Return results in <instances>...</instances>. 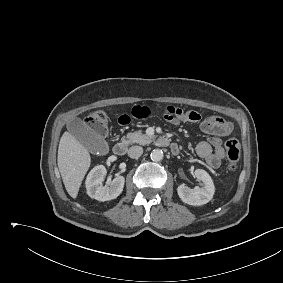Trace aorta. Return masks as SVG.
<instances>
[{
	"label": "aorta",
	"mask_w": 283,
	"mask_h": 283,
	"mask_svg": "<svg viewBox=\"0 0 283 283\" xmlns=\"http://www.w3.org/2000/svg\"><path fill=\"white\" fill-rule=\"evenodd\" d=\"M152 161H161L164 157L163 151L161 149H154L150 154Z\"/></svg>",
	"instance_id": "aorta-1"
}]
</instances>
